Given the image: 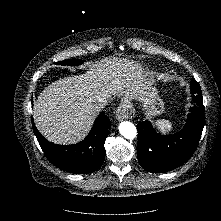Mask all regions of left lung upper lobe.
Here are the masks:
<instances>
[{"label": "left lung upper lobe", "mask_w": 221, "mask_h": 221, "mask_svg": "<svg viewBox=\"0 0 221 221\" xmlns=\"http://www.w3.org/2000/svg\"><path fill=\"white\" fill-rule=\"evenodd\" d=\"M191 92H192V94H195V95L202 94L201 89H200V85L198 84L197 81H195V79H192V81H191Z\"/></svg>", "instance_id": "1"}]
</instances>
